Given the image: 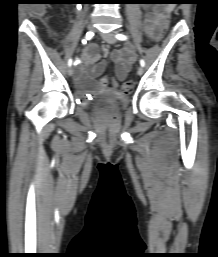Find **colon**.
I'll return each mask as SVG.
<instances>
[{
  "instance_id": "1",
  "label": "colon",
  "mask_w": 218,
  "mask_h": 257,
  "mask_svg": "<svg viewBox=\"0 0 218 257\" xmlns=\"http://www.w3.org/2000/svg\"><path fill=\"white\" fill-rule=\"evenodd\" d=\"M166 21H163V24H158V30L154 31V39H164V35H167V31H171V26L173 22L171 17H166ZM97 83L96 86L99 87V90H116L118 80L114 79V74H97ZM134 87L133 81H127L123 85V91L128 93Z\"/></svg>"
}]
</instances>
